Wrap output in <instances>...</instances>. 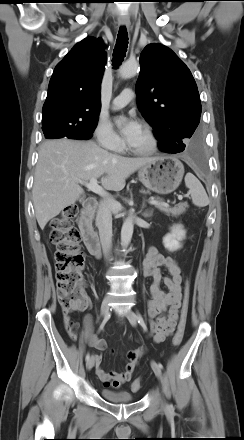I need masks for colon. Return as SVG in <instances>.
<instances>
[{
  "mask_svg": "<svg viewBox=\"0 0 244 440\" xmlns=\"http://www.w3.org/2000/svg\"><path fill=\"white\" fill-rule=\"evenodd\" d=\"M78 207L71 204L65 207L60 215L51 221L50 241L55 245V261L57 276V298L65 317L84 310L87 297L84 288L83 273L85 255L79 246V233L73 226ZM190 300V280L185 279L180 320L173 337V345L179 346L183 340ZM141 380L135 379L131 389L137 391ZM105 386L119 387L116 380L108 381Z\"/></svg>",
  "mask_w": 244,
  "mask_h": 440,
  "instance_id": "colon-1",
  "label": "colon"
}]
</instances>
